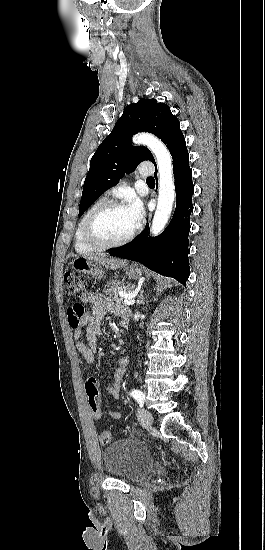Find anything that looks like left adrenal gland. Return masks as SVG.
Masks as SVG:
<instances>
[{
	"label": "left adrenal gland",
	"mask_w": 265,
	"mask_h": 550,
	"mask_svg": "<svg viewBox=\"0 0 265 550\" xmlns=\"http://www.w3.org/2000/svg\"><path fill=\"white\" fill-rule=\"evenodd\" d=\"M147 298V296H146ZM145 301V298L143 297V291H141L140 295H139V299H138V304H143Z\"/></svg>",
	"instance_id": "obj_1"
}]
</instances>
